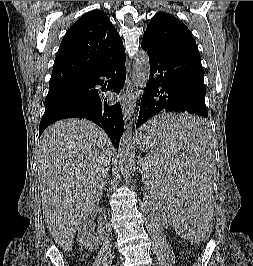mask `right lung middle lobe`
Wrapping results in <instances>:
<instances>
[{"mask_svg": "<svg viewBox=\"0 0 253 266\" xmlns=\"http://www.w3.org/2000/svg\"><path fill=\"white\" fill-rule=\"evenodd\" d=\"M78 85L79 82H72L49 86V92L45 99L44 114L50 113L64 104Z\"/></svg>", "mask_w": 253, "mask_h": 266, "instance_id": "right-lung-middle-lobe-1", "label": "right lung middle lobe"}]
</instances>
